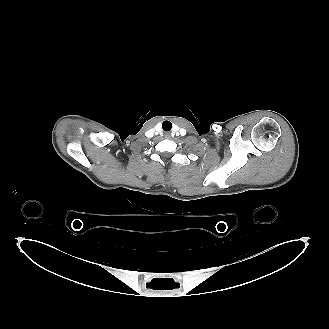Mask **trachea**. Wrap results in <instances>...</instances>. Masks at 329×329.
Instances as JSON below:
<instances>
[{"mask_svg": "<svg viewBox=\"0 0 329 329\" xmlns=\"http://www.w3.org/2000/svg\"><path fill=\"white\" fill-rule=\"evenodd\" d=\"M162 128H163V130L164 131H170L171 130V128H172V124H171V122L170 121H164L163 123H162Z\"/></svg>", "mask_w": 329, "mask_h": 329, "instance_id": "1", "label": "trachea"}]
</instances>
